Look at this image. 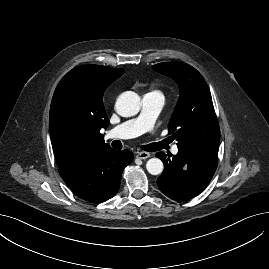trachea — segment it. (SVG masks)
<instances>
[{"mask_svg": "<svg viewBox=\"0 0 269 269\" xmlns=\"http://www.w3.org/2000/svg\"><path fill=\"white\" fill-rule=\"evenodd\" d=\"M160 143H151L149 145H144L142 146V149L145 151H156V150H160ZM112 146L115 149H121L122 148V143L118 140H115L112 142Z\"/></svg>", "mask_w": 269, "mask_h": 269, "instance_id": "obj_1", "label": "trachea"}]
</instances>
